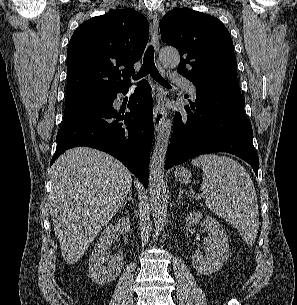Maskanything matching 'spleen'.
Listing matches in <instances>:
<instances>
[{
	"instance_id": "3e777b00",
	"label": "spleen",
	"mask_w": 297,
	"mask_h": 305,
	"mask_svg": "<svg viewBox=\"0 0 297 305\" xmlns=\"http://www.w3.org/2000/svg\"><path fill=\"white\" fill-rule=\"evenodd\" d=\"M201 167V191L206 206L217 216L233 225L244 242L253 244L259 227L257 194L244 167L237 161L215 154L201 155L192 160Z\"/></svg>"
}]
</instances>
